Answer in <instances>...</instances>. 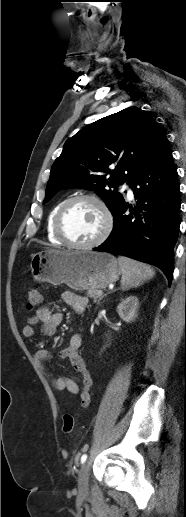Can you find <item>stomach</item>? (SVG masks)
<instances>
[{
    "instance_id": "obj_1",
    "label": "stomach",
    "mask_w": 186,
    "mask_h": 517,
    "mask_svg": "<svg viewBox=\"0 0 186 517\" xmlns=\"http://www.w3.org/2000/svg\"><path fill=\"white\" fill-rule=\"evenodd\" d=\"M30 266L34 280L66 284L76 291L105 288L122 273L111 254L86 250L38 252L32 255Z\"/></svg>"
}]
</instances>
